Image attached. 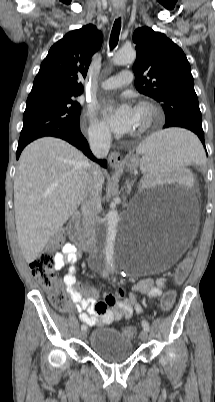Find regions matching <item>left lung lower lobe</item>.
Wrapping results in <instances>:
<instances>
[{"label":"left lung lower lobe","mask_w":215,"mask_h":402,"mask_svg":"<svg viewBox=\"0 0 215 402\" xmlns=\"http://www.w3.org/2000/svg\"><path fill=\"white\" fill-rule=\"evenodd\" d=\"M169 127H182V128H186L188 130H191L192 132H194L200 138L201 142L204 145V132H203L202 127L192 125V124L182 122V121H171V122L165 123L163 128H169Z\"/></svg>","instance_id":"1"}]
</instances>
